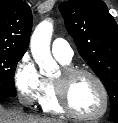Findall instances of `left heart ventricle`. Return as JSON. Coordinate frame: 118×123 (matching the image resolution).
Listing matches in <instances>:
<instances>
[{
	"label": "left heart ventricle",
	"mask_w": 118,
	"mask_h": 123,
	"mask_svg": "<svg viewBox=\"0 0 118 123\" xmlns=\"http://www.w3.org/2000/svg\"><path fill=\"white\" fill-rule=\"evenodd\" d=\"M61 73L54 79L59 80ZM69 100L73 108L84 115L98 114L103 107V96L100 88L88 76H79L69 85Z\"/></svg>",
	"instance_id": "b2bd125f"
}]
</instances>
